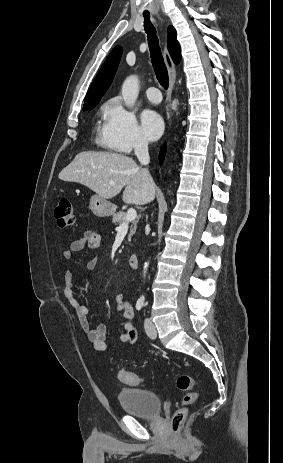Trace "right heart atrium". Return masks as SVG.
Returning a JSON list of instances; mask_svg holds the SVG:
<instances>
[{
	"mask_svg": "<svg viewBox=\"0 0 283 463\" xmlns=\"http://www.w3.org/2000/svg\"><path fill=\"white\" fill-rule=\"evenodd\" d=\"M103 135L108 145L121 152L147 147L135 114L118 100L110 101L105 107Z\"/></svg>",
	"mask_w": 283,
	"mask_h": 463,
	"instance_id": "d8ad5b80",
	"label": "right heart atrium"
}]
</instances>
